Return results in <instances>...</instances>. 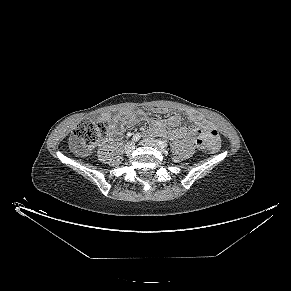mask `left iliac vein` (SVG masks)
I'll list each match as a JSON object with an SVG mask.
<instances>
[{
    "label": "left iliac vein",
    "instance_id": "1",
    "mask_svg": "<svg viewBox=\"0 0 291 291\" xmlns=\"http://www.w3.org/2000/svg\"><path fill=\"white\" fill-rule=\"evenodd\" d=\"M142 145L151 146L159 150L161 153H166V149L161 147L156 140L152 138H146L140 142Z\"/></svg>",
    "mask_w": 291,
    "mask_h": 291
}]
</instances>
